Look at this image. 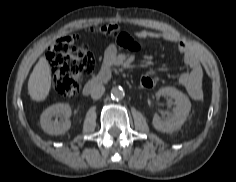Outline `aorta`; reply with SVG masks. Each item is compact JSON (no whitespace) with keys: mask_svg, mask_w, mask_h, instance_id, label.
<instances>
[{"mask_svg":"<svg viewBox=\"0 0 236 182\" xmlns=\"http://www.w3.org/2000/svg\"><path fill=\"white\" fill-rule=\"evenodd\" d=\"M125 96V91L122 87H113L111 89V97L115 100H121Z\"/></svg>","mask_w":236,"mask_h":182,"instance_id":"762f6f07","label":"aorta"}]
</instances>
